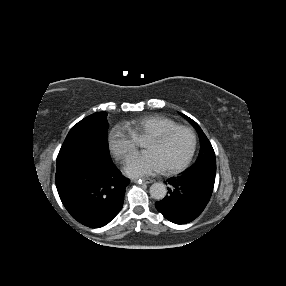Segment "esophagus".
Instances as JSON below:
<instances>
[{
    "mask_svg": "<svg viewBox=\"0 0 286 286\" xmlns=\"http://www.w3.org/2000/svg\"><path fill=\"white\" fill-rule=\"evenodd\" d=\"M134 181L139 183V184H150L153 182V180H151L149 178H142L140 180L135 179Z\"/></svg>",
    "mask_w": 286,
    "mask_h": 286,
    "instance_id": "1",
    "label": "esophagus"
}]
</instances>
